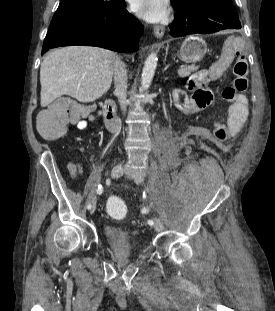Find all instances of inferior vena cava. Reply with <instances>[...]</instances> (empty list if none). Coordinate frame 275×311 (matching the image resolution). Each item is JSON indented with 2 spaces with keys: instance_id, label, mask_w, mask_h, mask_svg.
Wrapping results in <instances>:
<instances>
[{
  "instance_id": "inferior-vena-cava-1",
  "label": "inferior vena cava",
  "mask_w": 275,
  "mask_h": 311,
  "mask_svg": "<svg viewBox=\"0 0 275 311\" xmlns=\"http://www.w3.org/2000/svg\"><path fill=\"white\" fill-rule=\"evenodd\" d=\"M113 67L115 93L118 97L121 109L125 112L127 97V69L125 64L117 56L113 58Z\"/></svg>"
}]
</instances>
